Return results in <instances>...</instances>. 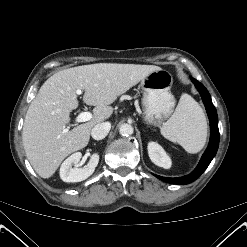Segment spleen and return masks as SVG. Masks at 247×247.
Here are the masks:
<instances>
[{"label": "spleen", "instance_id": "obj_1", "mask_svg": "<svg viewBox=\"0 0 247 247\" xmlns=\"http://www.w3.org/2000/svg\"><path fill=\"white\" fill-rule=\"evenodd\" d=\"M161 134L188 153L199 152L206 143L207 122L202 108L188 94H182L173 115L162 125Z\"/></svg>", "mask_w": 247, "mask_h": 247}]
</instances>
